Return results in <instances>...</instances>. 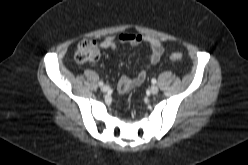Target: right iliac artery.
Returning a JSON list of instances; mask_svg holds the SVG:
<instances>
[{"instance_id":"right-iliac-artery-1","label":"right iliac artery","mask_w":248,"mask_h":165,"mask_svg":"<svg viewBox=\"0 0 248 165\" xmlns=\"http://www.w3.org/2000/svg\"><path fill=\"white\" fill-rule=\"evenodd\" d=\"M98 84H99V86H103L104 85V82L103 81H100Z\"/></svg>"}]
</instances>
